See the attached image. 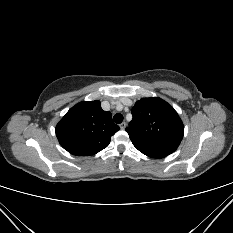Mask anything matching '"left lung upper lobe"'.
Returning <instances> with one entry per match:
<instances>
[{
    "label": "left lung upper lobe",
    "mask_w": 233,
    "mask_h": 233,
    "mask_svg": "<svg viewBox=\"0 0 233 233\" xmlns=\"http://www.w3.org/2000/svg\"><path fill=\"white\" fill-rule=\"evenodd\" d=\"M133 119L126 131L135 148L152 158H164L179 146L184 126L166 101L142 98L132 108Z\"/></svg>",
    "instance_id": "left-lung-upper-lobe-1"
}]
</instances>
